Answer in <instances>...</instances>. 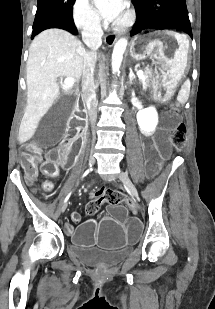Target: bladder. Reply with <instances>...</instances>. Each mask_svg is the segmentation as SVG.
Returning a JSON list of instances; mask_svg holds the SVG:
<instances>
[{"label": "bladder", "instance_id": "bladder-1", "mask_svg": "<svg viewBox=\"0 0 215 309\" xmlns=\"http://www.w3.org/2000/svg\"><path fill=\"white\" fill-rule=\"evenodd\" d=\"M78 260L87 266L109 268L121 263L128 255V250L123 249L114 252L102 251H75Z\"/></svg>", "mask_w": 215, "mask_h": 309}]
</instances>
